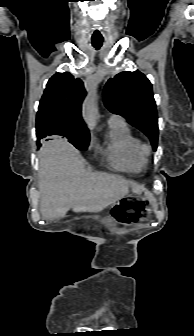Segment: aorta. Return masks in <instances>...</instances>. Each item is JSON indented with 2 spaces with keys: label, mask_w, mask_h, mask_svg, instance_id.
Returning a JSON list of instances; mask_svg holds the SVG:
<instances>
[{
  "label": "aorta",
  "mask_w": 194,
  "mask_h": 336,
  "mask_svg": "<svg viewBox=\"0 0 194 336\" xmlns=\"http://www.w3.org/2000/svg\"><path fill=\"white\" fill-rule=\"evenodd\" d=\"M96 87H92L83 102V118L90 128H95L98 120Z\"/></svg>",
  "instance_id": "obj_1"
}]
</instances>
